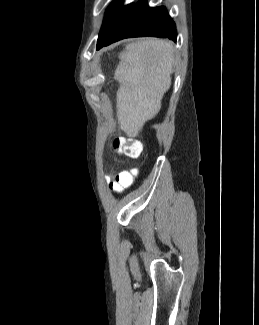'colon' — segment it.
<instances>
[{"label": "colon", "mask_w": 259, "mask_h": 325, "mask_svg": "<svg viewBox=\"0 0 259 325\" xmlns=\"http://www.w3.org/2000/svg\"><path fill=\"white\" fill-rule=\"evenodd\" d=\"M113 149L118 153L130 157H138L142 152V145L137 141H129L123 138H116L113 141ZM135 171H123L116 175L110 182V189L115 193H120L133 184Z\"/></svg>", "instance_id": "5ec220e1"}]
</instances>
